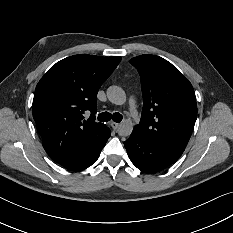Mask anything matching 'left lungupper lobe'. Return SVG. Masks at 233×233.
I'll use <instances>...</instances> for the list:
<instances>
[{
    "label": "left lung upper lobe",
    "instance_id": "1",
    "mask_svg": "<svg viewBox=\"0 0 233 233\" xmlns=\"http://www.w3.org/2000/svg\"><path fill=\"white\" fill-rule=\"evenodd\" d=\"M129 62L140 74L143 93L141 121L133 130L151 142L183 152L197 116L191 83L161 57L141 55Z\"/></svg>",
    "mask_w": 233,
    "mask_h": 233
}]
</instances>
